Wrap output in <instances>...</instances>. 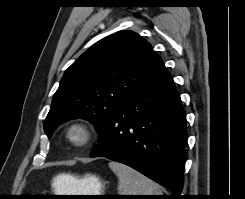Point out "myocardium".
Returning <instances> with one entry per match:
<instances>
[{"mask_svg":"<svg viewBox=\"0 0 245 199\" xmlns=\"http://www.w3.org/2000/svg\"><path fill=\"white\" fill-rule=\"evenodd\" d=\"M74 130H78L82 133V137L80 140H75L72 137V132ZM65 137L69 144L74 147L82 148L88 146L93 138H94V131L92 126L83 120H74L71 121L65 128Z\"/></svg>","mask_w":245,"mask_h":199,"instance_id":"1","label":"myocardium"}]
</instances>
